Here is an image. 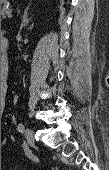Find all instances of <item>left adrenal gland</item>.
<instances>
[{"label": "left adrenal gland", "mask_w": 109, "mask_h": 170, "mask_svg": "<svg viewBox=\"0 0 109 170\" xmlns=\"http://www.w3.org/2000/svg\"><path fill=\"white\" fill-rule=\"evenodd\" d=\"M28 9L29 7H27L24 11V15H23V18H22V23H21V27H24L26 26L28 23H29V19L27 17V13H28Z\"/></svg>", "instance_id": "1"}]
</instances>
